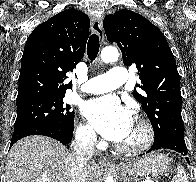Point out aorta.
<instances>
[{
	"instance_id": "aorta-1",
	"label": "aorta",
	"mask_w": 196,
	"mask_h": 182,
	"mask_svg": "<svg viewBox=\"0 0 196 182\" xmlns=\"http://www.w3.org/2000/svg\"><path fill=\"white\" fill-rule=\"evenodd\" d=\"M101 60L104 63H110L117 61L119 58V52L114 47H106L101 51ZM105 182H115L112 176H108L105 180Z\"/></svg>"
}]
</instances>
